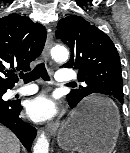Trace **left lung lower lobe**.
I'll list each match as a JSON object with an SVG mask.
<instances>
[{
  "mask_svg": "<svg viewBox=\"0 0 130 153\" xmlns=\"http://www.w3.org/2000/svg\"><path fill=\"white\" fill-rule=\"evenodd\" d=\"M70 105V104H69ZM70 107H75L74 105H70ZM92 112V110L91 109H85L84 111H83V115H88L89 113H91Z\"/></svg>",
  "mask_w": 130,
  "mask_h": 153,
  "instance_id": "1",
  "label": "left lung lower lobe"
}]
</instances>
